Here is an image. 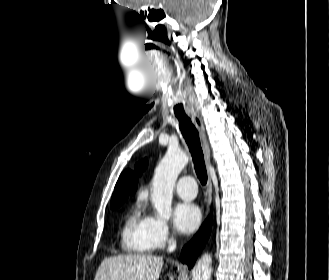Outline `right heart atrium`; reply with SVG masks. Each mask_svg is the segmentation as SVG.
<instances>
[{"label":"right heart atrium","mask_w":329,"mask_h":280,"mask_svg":"<svg viewBox=\"0 0 329 280\" xmlns=\"http://www.w3.org/2000/svg\"><path fill=\"white\" fill-rule=\"evenodd\" d=\"M150 237L153 248L159 249L170 244L173 241L174 235L164 219L158 216H152L150 223Z\"/></svg>","instance_id":"1"}]
</instances>
